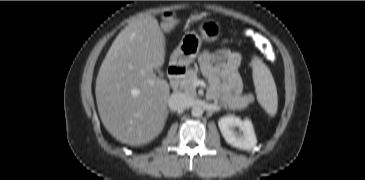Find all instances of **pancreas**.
<instances>
[{
  "mask_svg": "<svg viewBox=\"0 0 365 180\" xmlns=\"http://www.w3.org/2000/svg\"><path fill=\"white\" fill-rule=\"evenodd\" d=\"M197 79V72L194 69H189L186 71L184 77L180 81V89L189 95L190 97L196 96V88L193 85V81ZM250 102L249 96H235L224 103V106L230 109H244L248 106Z\"/></svg>",
  "mask_w": 365,
  "mask_h": 180,
  "instance_id": "1",
  "label": "pancreas"
}]
</instances>
